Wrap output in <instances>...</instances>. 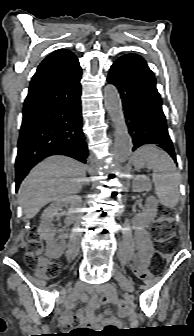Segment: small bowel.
I'll use <instances>...</instances> for the list:
<instances>
[{
	"label": "small bowel",
	"mask_w": 194,
	"mask_h": 336,
	"mask_svg": "<svg viewBox=\"0 0 194 336\" xmlns=\"http://www.w3.org/2000/svg\"><path fill=\"white\" fill-rule=\"evenodd\" d=\"M135 236H136V243H137V248H138V252L136 255V259H135V264H136L137 269L146 270L148 263H149V258L152 252V244L150 242L148 234L143 229H138L136 231ZM75 297L80 298L82 300H86L88 298V295L85 292L79 291L75 294ZM94 299L101 303H109V302L115 301L116 296H115L114 287L110 284L105 285L99 291V294L94 297ZM106 313L108 315H112V311L109 309L106 311ZM112 319H115V318L112 317ZM61 320L66 325L70 324L72 321L70 313L68 311H65L61 317ZM75 322L79 325H84L85 318L83 314L81 313L78 314L75 318Z\"/></svg>",
	"instance_id": "obj_1"
}]
</instances>
